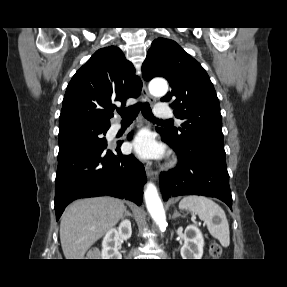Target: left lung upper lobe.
<instances>
[{
  "instance_id": "5c2ea615",
  "label": "left lung upper lobe",
  "mask_w": 287,
  "mask_h": 287,
  "mask_svg": "<svg viewBox=\"0 0 287 287\" xmlns=\"http://www.w3.org/2000/svg\"><path fill=\"white\" fill-rule=\"evenodd\" d=\"M142 74L147 81L156 76L168 80L171 91L161 101H171L175 116L184 121L178 128L160 129L161 133L182 151L201 150L225 159L219 99L201 64L175 41L158 38Z\"/></svg>"
}]
</instances>
